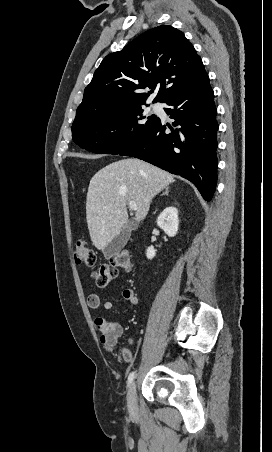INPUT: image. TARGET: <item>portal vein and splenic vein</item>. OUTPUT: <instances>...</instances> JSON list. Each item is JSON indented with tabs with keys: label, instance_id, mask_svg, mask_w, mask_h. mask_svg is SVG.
Wrapping results in <instances>:
<instances>
[{
	"label": "portal vein and splenic vein",
	"instance_id": "1",
	"mask_svg": "<svg viewBox=\"0 0 272 452\" xmlns=\"http://www.w3.org/2000/svg\"><path fill=\"white\" fill-rule=\"evenodd\" d=\"M128 205H129V208H130L132 211L137 210V205H136L135 202L129 201Z\"/></svg>",
	"mask_w": 272,
	"mask_h": 452
}]
</instances>
